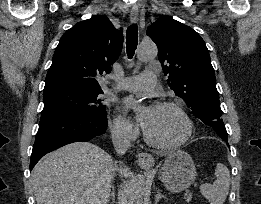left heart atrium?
Masks as SVG:
<instances>
[{
	"label": "left heart atrium",
	"instance_id": "obj_1",
	"mask_svg": "<svg viewBox=\"0 0 261 204\" xmlns=\"http://www.w3.org/2000/svg\"><path fill=\"white\" fill-rule=\"evenodd\" d=\"M134 106H135V100H134V99L128 98V99H126V100L124 101V107H125L126 110H131V109L134 108ZM148 109H149V108H147V110H148ZM141 123H142V125L144 126V120H143V118L141 119Z\"/></svg>",
	"mask_w": 261,
	"mask_h": 204
}]
</instances>
